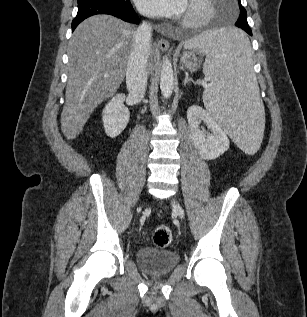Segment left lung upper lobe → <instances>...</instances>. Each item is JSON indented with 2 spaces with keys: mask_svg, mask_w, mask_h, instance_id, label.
Wrapping results in <instances>:
<instances>
[{
  "mask_svg": "<svg viewBox=\"0 0 307 317\" xmlns=\"http://www.w3.org/2000/svg\"><path fill=\"white\" fill-rule=\"evenodd\" d=\"M238 3H239L240 15H239V18H238L237 22L235 23V26H237L239 28L249 27L248 22H247L246 10L241 5V1L240 0H238Z\"/></svg>",
  "mask_w": 307,
  "mask_h": 317,
  "instance_id": "obj_1",
  "label": "left lung upper lobe"
}]
</instances>
